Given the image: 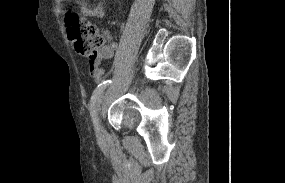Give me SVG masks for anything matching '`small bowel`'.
<instances>
[{"label": "small bowel", "instance_id": "obj_1", "mask_svg": "<svg viewBox=\"0 0 285 183\" xmlns=\"http://www.w3.org/2000/svg\"><path fill=\"white\" fill-rule=\"evenodd\" d=\"M102 1L103 0H100L97 4L93 6L89 5V3L85 1L81 2L82 14L95 19H103L106 16V12L103 7ZM117 51V45H105L99 51L96 58L90 60L89 73L96 82H101L105 73V70L100 65L101 61L113 59Z\"/></svg>", "mask_w": 285, "mask_h": 183}]
</instances>
